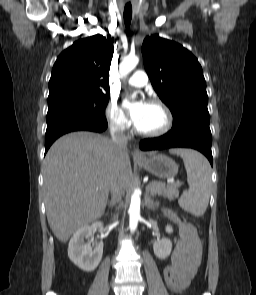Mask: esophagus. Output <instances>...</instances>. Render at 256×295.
I'll use <instances>...</instances> for the list:
<instances>
[{
    "instance_id": "obj_1",
    "label": "esophagus",
    "mask_w": 256,
    "mask_h": 295,
    "mask_svg": "<svg viewBox=\"0 0 256 295\" xmlns=\"http://www.w3.org/2000/svg\"><path fill=\"white\" fill-rule=\"evenodd\" d=\"M134 157L143 158V155L139 152L137 147H134Z\"/></svg>"
}]
</instances>
